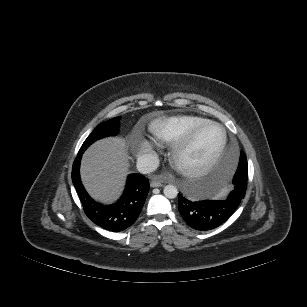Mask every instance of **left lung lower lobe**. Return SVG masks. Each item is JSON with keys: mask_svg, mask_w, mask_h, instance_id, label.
<instances>
[{"mask_svg": "<svg viewBox=\"0 0 307 307\" xmlns=\"http://www.w3.org/2000/svg\"><path fill=\"white\" fill-rule=\"evenodd\" d=\"M239 167L248 170L247 158L242 151ZM233 184L234 188L225 200H195L178 194V209L185 222L193 229L207 231L227 221L246 193V188L240 182L233 181Z\"/></svg>", "mask_w": 307, "mask_h": 307, "instance_id": "1", "label": "left lung lower lobe"}]
</instances>
